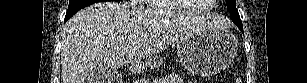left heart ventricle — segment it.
Wrapping results in <instances>:
<instances>
[{
    "mask_svg": "<svg viewBox=\"0 0 307 83\" xmlns=\"http://www.w3.org/2000/svg\"><path fill=\"white\" fill-rule=\"evenodd\" d=\"M200 0H183V3H185L186 5H189L191 7H202L204 6L203 4H200L201 2H199Z\"/></svg>",
    "mask_w": 307,
    "mask_h": 83,
    "instance_id": "1",
    "label": "left heart ventricle"
}]
</instances>
